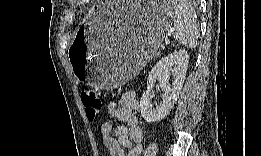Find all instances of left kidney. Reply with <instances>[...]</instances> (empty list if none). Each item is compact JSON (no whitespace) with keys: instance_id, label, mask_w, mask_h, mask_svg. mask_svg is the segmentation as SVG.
I'll list each match as a JSON object with an SVG mask.
<instances>
[{"instance_id":"5707ae66","label":"left kidney","mask_w":261,"mask_h":156,"mask_svg":"<svg viewBox=\"0 0 261 156\" xmlns=\"http://www.w3.org/2000/svg\"><path fill=\"white\" fill-rule=\"evenodd\" d=\"M188 63V53L185 50H179L160 59L152 68L147 78V90L140 100V110L145 121L149 123L160 121L170 112L182 89ZM170 77L172 84L169 83ZM156 80L160 81L164 94L162 101L154 109L151 104V89Z\"/></svg>"}]
</instances>
